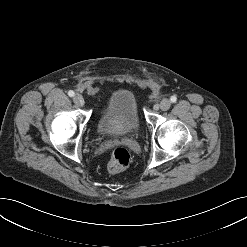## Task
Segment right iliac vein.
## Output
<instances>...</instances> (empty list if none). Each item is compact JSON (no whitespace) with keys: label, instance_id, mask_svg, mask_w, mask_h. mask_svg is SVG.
<instances>
[{"label":"right iliac vein","instance_id":"63e3f726","mask_svg":"<svg viewBox=\"0 0 247 247\" xmlns=\"http://www.w3.org/2000/svg\"><path fill=\"white\" fill-rule=\"evenodd\" d=\"M73 101L78 106H83L84 105V99H83V97L80 94H76L73 97Z\"/></svg>","mask_w":247,"mask_h":247}]
</instances>
